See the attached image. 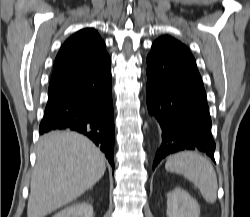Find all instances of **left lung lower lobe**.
Masks as SVG:
<instances>
[{"label":"left lung lower lobe","mask_w":250,"mask_h":217,"mask_svg":"<svg viewBox=\"0 0 250 217\" xmlns=\"http://www.w3.org/2000/svg\"><path fill=\"white\" fill-rule=\"evenodd\" d=\"M148 111L160 124L162 144L153 169L166 156L200 150L214 160L215 142L206 93L196 61L185 46L155 41L147 56Z\"/></svg>","instance_id":"left-lung-lower-lobe-1"}]
</instances>
